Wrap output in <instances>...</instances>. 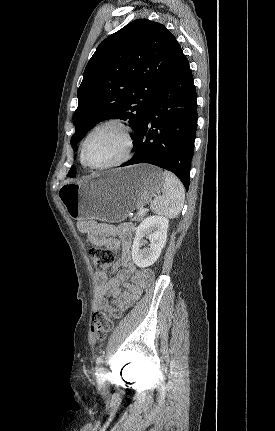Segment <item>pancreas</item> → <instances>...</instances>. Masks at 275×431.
Returning a JSON list of instances; mask_svg holds the SVG:
<instances>
[{"label":"pancreas","mask_w":275,"mask_h":431,"mask_svg":"<svg viewBox=\"0 0 275 431\" xmlns=\"http://www.w3.org/2000/svg\"><path fill=\"white\" fill-rule=\"evenodd\" d=\"M144 216H145V214H142V215L137 214L134 217H131V220L136 221V222H140L143 220Z\"/></svg>","instance_id":"cf45deb5"}]
</instances>
